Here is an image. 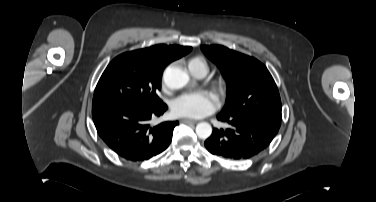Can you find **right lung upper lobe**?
Instances as JSON below:
<instances>
[{
  "label": "right lung upper lobe",
  "mask_w": 376,
  "mask_h": 202,
  "mask_svg": "<svg viewBox=\"0 0 376 202\" xmlns=\"http://www.w3.org/2000/svg\"><path fill=\"white\" fill-rule=\"evenodd\" d=\"M191 47L179 45H154L149 48L132 51L142 59L152 73L160 74L172 61L181 58L191 51Z\"/></svg>",
  "instance_id": "cb5924a9"
}]
</instances>
